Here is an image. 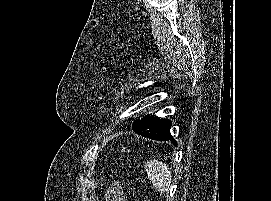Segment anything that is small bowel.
<instances>
[{
  "label": "small bowel",
  "instance_id": "small-bowel-1",
  "mask_svg": "<svg viewBox=\"0 0 271 201\" xmlns=\"http://www.w3.org/2000/svg\"><path fill=\"white\" fill-rule=\"evenodd\" d=\"M106 201H124L122 197V188L119 183H114L106 191Z\"/></svg>",
  "mask_w": 271,
  "mask_h": 201
}]
</instances>
